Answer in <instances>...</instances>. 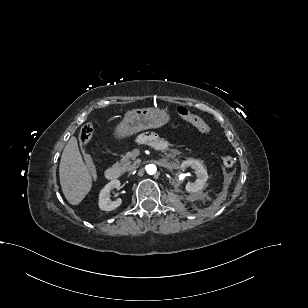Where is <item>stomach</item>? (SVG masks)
Masks as SVG:
<instances>
[{"instance_id": "1", "label": "stomach", "mask_w": 308, "mask_h": 308, "mask_svg": "<svg viewBox=\"0 0 308 308\" xmlns=\"http://www.w3.org/2000/svg\"><path fill=\"white\" fill-rule=\"evenodd\" d=\"M169 121L170 115L164 109H132L126 112L123 120L116 126L114 135L117 138L129 137L143 130L159 128Z\"/></svg>"}]
</instances>
